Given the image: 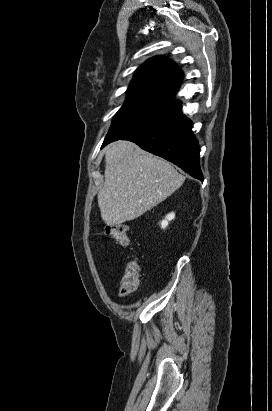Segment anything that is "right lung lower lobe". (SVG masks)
I'll list each match as a JSON object with an SVG mask.
<instances>
[{"instance_id":"obj_1","label":"right lung lower lobe","mask_w":272,"mask_h":411,"mask_svg":"<svg viewBox=\"0 0 272 411\" xmlns=\"http://www.w3.org/2000/svg\"><path fill=\"white\" fill-rule=\"evenodd\" d=\"M191 128V120L179 109L127 136L106 137L103 146L118 139L133 141L142 149L173 162L192 177L203 181L199 144Z\"/></svg>"}]
</instances>
